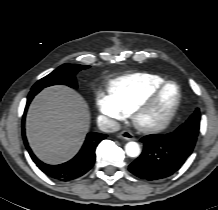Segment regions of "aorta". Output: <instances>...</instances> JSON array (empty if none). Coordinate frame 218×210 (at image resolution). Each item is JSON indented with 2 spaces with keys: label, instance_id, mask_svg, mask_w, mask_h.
<instances>
[{
  "label": "aorta",
  "instance_id": "aorta-1",
  "mask_svg": "<svg viewBox=\"0 0 218 210\" xmlns=\"http://www.w3.org/2000/svg\"><path fill=\"white\" fill-rule=\"evenodd\" d=\"M125 152L129 157H138L141 153L140 146L137 142H128L125 145Z\"/></svg>",
  "mask_w": 218,
  "mask_h": 210
}]
</instances>
